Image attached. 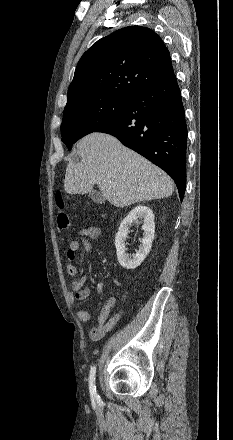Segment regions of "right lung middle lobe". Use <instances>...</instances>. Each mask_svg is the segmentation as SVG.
<instances>
[{
	"label": "right lung middle lobe",
	"instance_id": "dd1d6c3e",
	"mask_svg": "<svg viewBox=\"0 0 233 440\" xmlns=\"http://www.w3.org/2000/svg\"><path fill=\"white\" fill-rule=\"evenodd\" d=\"M128 102L129 99L97 97L66 106L61 135L68 150L83 136L96 132L115 120L124 111Z\"/></svg>",
	"mask_w": 233,
	"mask_h": 440
}]
</instances>
